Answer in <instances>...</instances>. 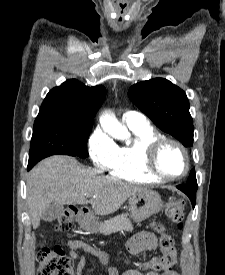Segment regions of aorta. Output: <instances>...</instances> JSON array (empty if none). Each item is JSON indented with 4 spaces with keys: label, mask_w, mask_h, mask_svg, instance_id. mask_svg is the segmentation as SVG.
<instances>
[{
    "label": "aorta",
    "mask_w": 225,
    "mask_h": 275,
    "mask_svg": "<svg viewBox=\"0 0 225 275\" xmlns=\"http://www.w3.org/2000/svg\"><path fill=\"white\" fill-rule=\"evenodd\" d=\"M100 124L104 132L115 139L128 140L130 138L127 128L111 112L106 111L101 115Z\"/></svg>",
    "instance_id": "obj_1"
}]
</instances>
